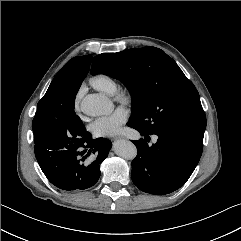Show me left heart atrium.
<instances>
[{
	"label": "left heart atrium",
	"instance_id": "1",
	"mask_svg": "<svg viewBox=\"0 0 241 241\" xmlns=\"http://www.w3.org/2000/svg\"><path fill=\"white\" fill-rule=\"evenodd\" d=\"M127 120V112L118 108L111 114L97 118L90 126L93 135L98 137L113 136L120 132Z\"/></svg>",
	"mask_w": 241,
	"mask_h": 241
}]
</instances>
